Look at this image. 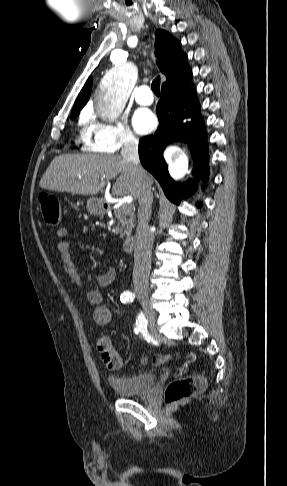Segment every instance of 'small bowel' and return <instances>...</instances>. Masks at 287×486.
<instances>
[{"label":"small bowel","mask_w":287,"mask_h":486,"mask_svg":"<svg viewBox=\"0 0 287 486\" xmlns=\"http://www.w3.org/2000/svg\"><path fill=\"white\" fill-rule=\"evenodd\" d=\"M69 231L66 228H59L56 231V237L58 238L57 250L60 254L63 268L69 275L72 283L81 289L87 300L95 306L93 311V319L96 324L100 326L108 325L112 319V313L108 307L102 304V295L97 290H91L86 288L80 274L78 273L76 266L72 260L70 243L67 240ZM115 270L110 268L104 274H97L94 276L95 281L101 287L109 286L115 279Z\"/></svg>","instance_id":"c3829d8e"}]
</instances>
